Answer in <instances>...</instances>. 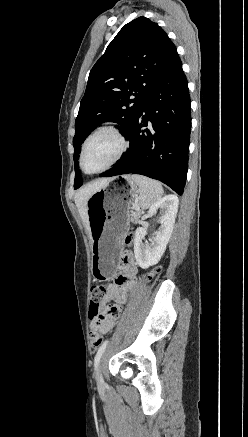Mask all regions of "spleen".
<instances>
[{"mask_svg":"<svg viewBox=\"0 0 248 437\" xmlns=\"http://www.w3.org/2000/svg\"><path fill=\"white\" fill-rule=\"evenodd\" d=\"M132 179L139 186L138 196L141 208H149L161 199L163 188L158 181L137 174L132 175Z\"/></svg>","mask_w":248,"mask_h":437,"instance_id":"obj_1","label":"spleen"}]
</instances>
